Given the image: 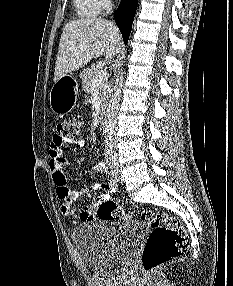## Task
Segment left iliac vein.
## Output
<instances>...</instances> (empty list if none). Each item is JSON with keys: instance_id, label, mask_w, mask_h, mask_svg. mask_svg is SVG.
Returning a JSON list of instances; mask_svg holds the SVG:
<instances>
[{"instance_id": "obj_1", "label": "left iliac vein", "mask_w": 233, "mask_h": 286, "mask_svg": "<svg viewBox=\"0 0 233 286\" xmlns=\"http://www.w3.org/2000/svg\"><path fill=\"white\" fill-rule=\"evenodd\" d=\"M110 171H111L113 178L117 182H120V183L123 182L124 178H123V175H122L121 170L119 168L117 155L115 153L112 156V160H111V164H110Z\"/></svg>"}]
</instances>
